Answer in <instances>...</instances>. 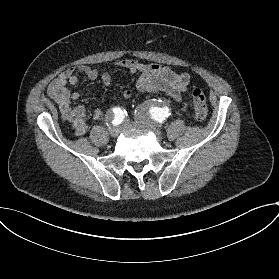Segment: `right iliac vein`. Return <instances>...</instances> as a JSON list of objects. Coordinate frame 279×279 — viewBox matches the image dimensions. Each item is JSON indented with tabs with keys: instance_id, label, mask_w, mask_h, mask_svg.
Instances as JSON below:
<instances>
[{
	"instance_id": "1",
	"label": "right iliac vein",
	"mask_w": 279,
	"mask_h": 279,
	"mask_svg": "<svg viewBox=\"0 0 279 279\" xmlns=\"http://www.w3.org/2000/svg\"><path fill=\"white\" fill-rule=\"evenodd\" d=\"M109 132H110V135H111L112 137H114V138H116V137L118 136V134H119L118 129H117L116 126H112V127L110 128Z\"/></svg>"
}]
</instances>
